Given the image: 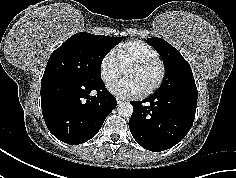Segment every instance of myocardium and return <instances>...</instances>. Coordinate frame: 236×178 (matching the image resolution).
<instances>
[{"instance_id":"1","label":"myocardium","mask_w":236,"mask_h":178,"mask_svg":"<svg viewBox=\"0 0 236 178\" xmlns=\"http://www.w3.org/2000/svg\"><path fill=\"white\" fill-rule=\"evenodd\" d=\"M152 65H157L159 67V75L156 82L146 89L145 91L141 92L140 95L143 97L149 96L155 91H157L164 82L166 76V66L165 63L160 58H153L147 60H139V61H132L124 68V74L133 68H145Z\"/></svg>"}]
</instances>
